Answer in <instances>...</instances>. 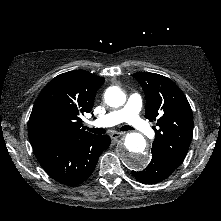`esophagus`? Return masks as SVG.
Returning a JSON list of instances; mask_svg holds the SVG:
<instances>
[{
	"instance_id": "obj_1",
	"label": "esophagus",
	"mask_w": 221,
	"mask_h": 221,
	"mask_svg": "<svg viewBox=\"0 0 221 221\" xmlns=\"http://www.w3.org/2000/svg\"><path fill=\"white\" fill-rule=\"evenodd\" d=\"M125 135V133H120V132H114V133H112L111 134V139L113 140V141H118L121 137H123Z\"/></svg>"
}]
</instances>
